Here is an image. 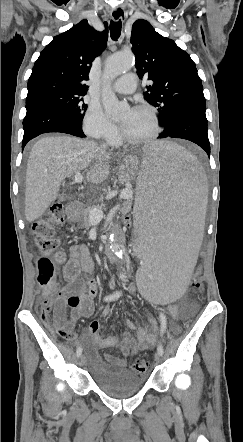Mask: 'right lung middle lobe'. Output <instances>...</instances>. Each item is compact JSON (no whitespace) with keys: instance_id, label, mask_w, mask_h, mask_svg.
Instances as JSON below:
<instances>
[{"instance_id":"obj_1","label":"right lung middle lobe","mask_w":243,"mask_h":442,"mask_svg":"<svg viewBox=\"0 0 243 442\" xmlns=\"http://www.w3.org/2000/svg\"><path fill=\"white\" fill-rule=\"evenodd\" d=\"M85 94L64 91V90H50L39 94L37 96L26 98V101L43 99L50 100L61 105L65 110L79 123L82 124L84 113L87 105L83 102Z\"/></svg>"}]
</instances>
